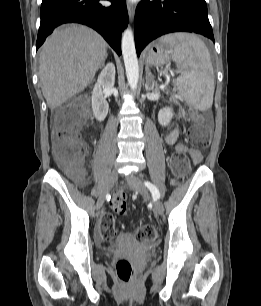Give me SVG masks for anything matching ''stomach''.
<instances>
[{
	"mask_svg": "<svg viewBox=\"0 0 261 306\" xmlns=\"http://www.w3.org/2000/svg\"><path fill=\"white\" fill-rule=\"evenodd\" d=\"M172 47L164 42L156 43L145 52V62L147 65L163 66L170 62L172 57Z\"/></svg>",
	"mask_w": 261,
	"mask_h": 306,
	"instance_id": "stomach-1",
	"label": "stomach"
}]
</instances>
